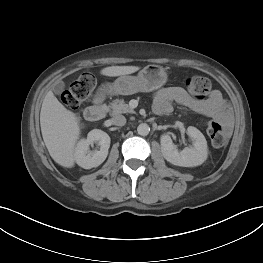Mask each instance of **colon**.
<instances>
[{
    "instance_id": "colon-1",
    "label": "colon",
    "mask_w": 263,
    "mask_h": 263,
    "mask_svg": "<svg viewBox=\"0 0 263 263\" xmlns=\"http://www.w3.org/2000/svg\"><path fill=\"white\" fill-rule=\"evenodd\" d=\"M188 92L196 98H204L211 90V81L204 76L193 75L186 79ZM95 87V79L91 74H82L62 94V101L69 109H78L89 99ZM207 134L216 148L225 146L227 137L222 125L216 120L206 122Z\"/></svg>"
}]
</instances>
